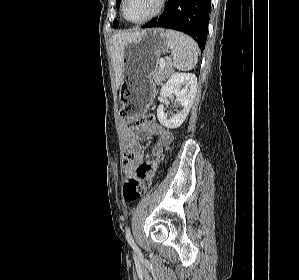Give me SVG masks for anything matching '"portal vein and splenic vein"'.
I'll return each mask as SVG.
<instances>
[{"label": "portal vein and splenic vein", "instance_id": "portal-vein-and-splenic-vein-1", "mask_svg": "<svg viewBox=\"0 0 299 280\" xmlns=\"http://www.w3.org/2000/svg\"><path fill=\"white\" fill-rule=\"evenodd\" d=\"M160 67L163 69L165 67V60L161 59L160 60Z\"/></svg>", "mask_w": 299, "mask_h": 280}]
</instances>
